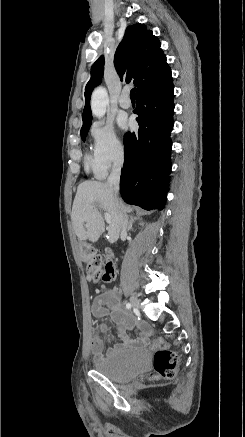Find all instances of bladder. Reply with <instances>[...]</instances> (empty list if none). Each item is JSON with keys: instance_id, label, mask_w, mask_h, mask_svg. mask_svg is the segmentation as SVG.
<instances>
[{"instance_id": "obj_1", "label": "bladder", "mask_w": 245, "mask_h": 437, "mask_svg": "<svg viewBox=\"0 0 245 437\" xmlns=\"http://www.w3.org/2000/svg\"><path fill=\"white\" fill-rule=\"evenodd\" d=\"M150 364L147 349L115 348L94 362V369L112 381L127 382L144 372Z\"/></svg>"}]
</instances>
